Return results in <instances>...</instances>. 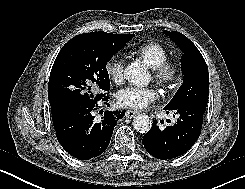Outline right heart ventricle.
Returning a JSON list of instances; mask_svg holds the SVG:
<instances>
[{
  "instance_id": "right-heart-ventricle-1",
  "label": "right heart ventricle",
  "mask_w": 245,
  "mask_h": 189,
  "mask_svg": "<svg viewBox=\"0 0 245 189\" xmlns=\"http://www.w3.org/2000/svg\"><path fill=\"white\" fill-rule=\"evenodd\" d=\"M134 54L144 59L152 69L168 60L169 56L167 50L155 42H148L137 46L134 49Z\"/></svg>"
}]
</instances>
